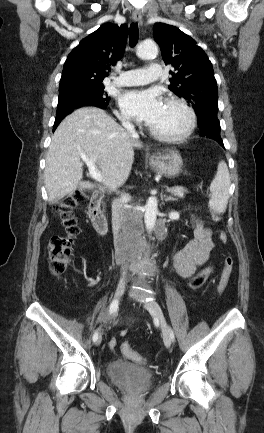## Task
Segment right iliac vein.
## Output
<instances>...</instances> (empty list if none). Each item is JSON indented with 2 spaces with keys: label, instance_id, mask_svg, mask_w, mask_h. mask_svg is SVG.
I'll list each match as a JSON object with an SVG mask.
<instances>
[{
  "label": "right iliac vein",
  "instance_id": "right-iliac-vein-1",
  "mask_svg": "<svg viewBox=\"0 0 264 433\" xmlns=\"http://www.w3.org/2000/svg\"><path fill=\"white\" fill-rule=\"evenodd\" d=\"M125 286H126V280L120 279L118 286H117V289H116L115 300L118 301L122 297V295L125 291ZM101 342H102V336L100 335L98 337V339L96 340V345H100Z\"/></svg>",
  "mask_w": 264,
  "mask_h": 433
}]
</instances>
